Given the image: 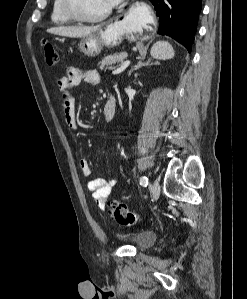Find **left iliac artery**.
<instances>
[{"label":"left iliac artery","instance_id":"left-iliac-artery-1","mask_svg":"<svg viewBox=\"0 0 247 299\" xmlns=\"http://www.w3.org/2000/svg\"><path fill=\"white\" fill-rule=\"evenodd\" d=\"M140 184L143 186V187H146L148 185V178L146 176H142L140 178Z\"/></svg>","mask_w":247,"mask_h":299}]
</instances>
